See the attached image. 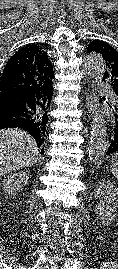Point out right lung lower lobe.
Instances as JSON below:
<instances>
[{"instance_id":"1","label":"right lung lower lobe","mask_w":118,"mask_h":269,"mask_svg":"<svg viewBox=\"0 0 118 269\" xmlns=\"http://www.w3.org/2000/svg\"><path fill=\"white\" fill-rule=\"evenodd\" d=\"M36 100L32 93H0V129L18 127L28 131L34 138L38 136L34 134ZM35 140L41 146L45 141V134Z\"/></svg>"}]
</instances>
